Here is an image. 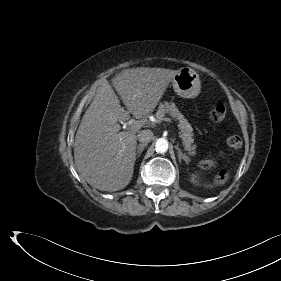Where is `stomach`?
Masks as SVG:
<instances>
[{"label":"stomach","instance_id":"obj_1","mask_svg":"<svg viewBox=\"0 0 281 281\" xmlns=\"http://www.w3.org/2000/svg\"><path fill=\"white\" fill-rule=\"evenodd\" d=\"M174 91L182 98H194L201 89L199 75L190 67H182L172 79Z\"/></svg>","mask_w":281,"mask_h":281}]
</instances>
